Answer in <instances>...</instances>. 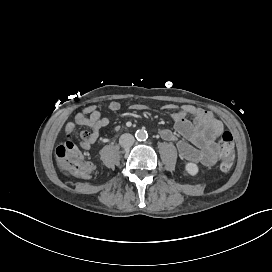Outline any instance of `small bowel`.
I'll list each match as a JSON object with an SVG mask.
<instances>
[{"label":"small bowel","instance_id":"small-bowel-1","mask_svg":"<svg viewBox=\"0 0 272 272\" xmlns=\"http://www.w3.org/2000/svg\"><path fill=\"white\" fill-rule=\"evenodd\" d=\"M106 108L109 111H118L121 109V103L111 101ZM134 110H142L144 106L134 104L131 106ZM167 111H174L171 116L175 132L170 129H163L159 132V136L165 141H176V147L181 159L194 163H202L211 167L215 163V158L209 156L206 152L208 146L214 144L223 131L222 122L217 119L212 112L195 106L167 104L164 106ZM85 114V124L90 128V132L94 133L96 141L99 137L100 130L109 125L110 120L102 116L100 109L96 105H89L82 110ZM68 127L74 132L75 126L72 121L67 123ZM84 132V131H83ZM177 134L183 137L182 140L177 139ZM82 147V146H81ZM89 151L90 148H84Z\"/></svg>","mask_w":272,"mask_h":272}]
</instances>
